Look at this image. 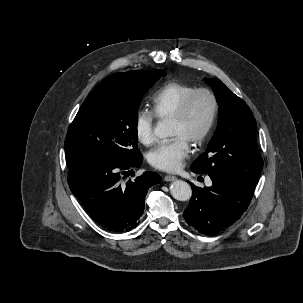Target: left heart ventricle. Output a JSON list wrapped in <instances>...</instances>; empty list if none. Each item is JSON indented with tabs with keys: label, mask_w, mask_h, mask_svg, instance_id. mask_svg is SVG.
Here are the masks:
<instances>
[{
	"label": "left heart ventricle",
	"mask_w": 303,
	"mask_h": 303,
	"mask_svg": "<svg viewBox=\"0 0 303 303\" xmlns=\"http://www.w3.org/2000/svg\"><path fill=\"white\" fill-rule=\"evenodd\" d=\"M211 112V101L205 94L198 95L183 121H171V135L182 136L188 142L193 143L194 139L204 129Z\"/></svg>",
	"instance_id": "obj_1"
}]
</instances>
